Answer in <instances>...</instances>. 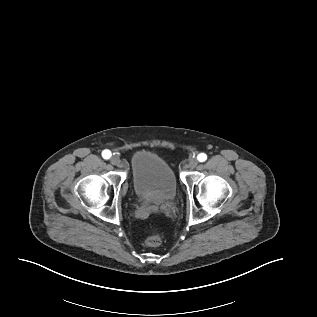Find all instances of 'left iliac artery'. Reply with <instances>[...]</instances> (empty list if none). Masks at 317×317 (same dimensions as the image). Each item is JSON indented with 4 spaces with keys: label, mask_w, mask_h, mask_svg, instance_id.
<instances>
[{
    "label": "left iliac artery",
    "mask_w": 317,
    "mask_h": 317,
    "mask_svg": "<svg viewBox=\"0 0 317 317\" xmlns=\"http://www.w3.org/2000/svg\"><path fill=\"white\" fill-rule=\"evenodd\" d=\"M197 159L198 161L200 162H204L206 159H207V155L205 153H200L198 156H197Z\"/></svg>",
    "instance_id": "left-iliac-artery-1"
}]
</instances>
